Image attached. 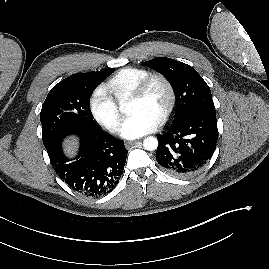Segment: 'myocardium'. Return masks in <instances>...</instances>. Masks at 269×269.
<instances>
[{
    "mask_svg": "<svg viewBox=\"0 0 269 269\" xmlns=\"http://www.w3.org/2000/svg\"><path fill=\"white\" fill-rule=\"evenodd\" d=\"M155 81L162 82L168 94V101H167L166 107L157 121V125H162L168 120L169 116L171 115L174 109L175 102H176V92H175L174 85L167 76L161 73L149 74L148 76H146L144 79H142L139 82V84L133 90L129 98L130 100H140L144 98L149 88Z\"/></svg>",
    "mask_w": 269,
    "mask_h": 269,
    "instance_id": "f54148a6",
    "label": "myocardium"
}]
</instances>
